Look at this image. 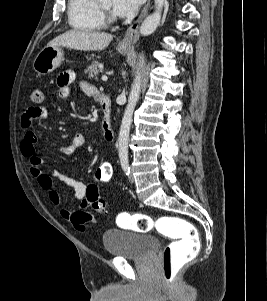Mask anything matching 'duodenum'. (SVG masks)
I'll return each instance as SVG.
<instances>
[{
	"label": "duodenum",
	"instance_id": "410a0bca",
	"mask_svg": "<svg viewBox=\"0 0 267 301\" xmlns=\"http://www.w3.org/2000/svg\"><path fill=\"white\" fill-rule=\"evenodd\" d=\"M95 98L102 109V129L104 131L105 138L107 141H112L114 139V131L111 124V102L104 94L98 93Z\"/></svg>",
	"mask_w": 267,
	"mask_h": 301
}]
</instances>
